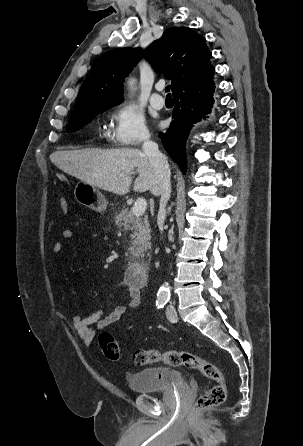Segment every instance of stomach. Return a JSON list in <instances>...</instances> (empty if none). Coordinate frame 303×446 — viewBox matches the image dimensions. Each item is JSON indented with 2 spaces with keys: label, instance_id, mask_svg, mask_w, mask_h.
Listing matches in <instances>:
<instances>
[{
  "label": "stomach",
  "instance_id": "0dacf381",
  "mask_svg": "<svg viewBox=\"0 0 303 446\" xmlns=\"http://www.w3.org/2000/svg\"><path fill=\"white\" fill-rule=\"evenodd\" d=\"M74 196L78 203L96 211L104 212L108 202L104 195L95 186L78 182L74 189Z\"/></svg>",
  "mask_w": 303,
  "mask_h": 446
}]
</instances>
